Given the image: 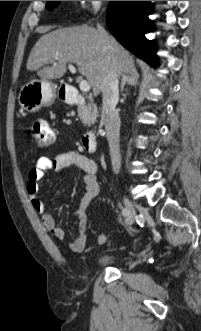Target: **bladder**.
Returning a JSON list of instances; mask_svg holds the SVG:
<instances>
[{
	"instance_id": "31cf9c89",
	"label": "bladder",
	"mask_w": 201,
	"mask_h": 331,
	"mask_svg": "<svg viewBox=\"0 0 201 331\" xmlns=\"http://www.w3.org/2000/svg\"><path fill=\"white\" fill-rule=\"evenodd\" d=\"M119 261V258L115 255L105 254L100 257H98L95 262V267H111L117 264Z\"/></svg>"
}]
</instances>
